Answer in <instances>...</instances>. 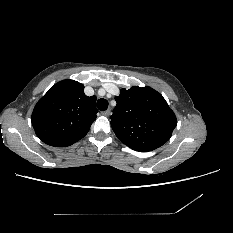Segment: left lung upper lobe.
<instances>
[{"mask_svg": "<svg viewBox=\"0 0 233 233\" xmlns=\"http://www.w3.org/2000/svg\"><path fill=\"white\" fill-rule=\"evenodd\" d=\"M111 116L120 141L133 150L147 152L165 144L177 125L163 96L150 87L121 89Z\"/></svg>", "mask_w": 233, "mask_h": 233, "instance_id": "left-lung-upper-lobe-1", "label": "left lung upper lobe"}]
</instances>
